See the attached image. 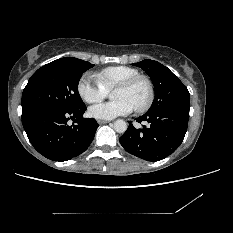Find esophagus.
Segmentation results:
<instances>
[{"label": "esophagus", "instance_id": "obj_1", "mask_svg": "<svg viewBox=\"0 0 233 233\" xmlns=\"http://www.w3.org/2000/svg\"><path fill=\"white\" fill-rule=\"evenodd\" d=\"M110 123V121L107 120H98V124L102 125V124H107Z\"/></svg>", "mask_w": 233, "mask_h": 233}]
</instances>
